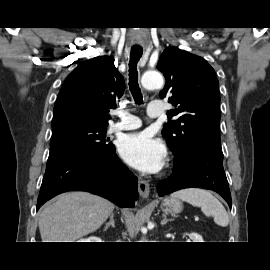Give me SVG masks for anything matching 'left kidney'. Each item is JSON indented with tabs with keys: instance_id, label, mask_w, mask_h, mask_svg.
Segmentation results:
<instances>
[{
	"instance_id": "1",
	"label": "left kidney",
	"mask_w": 270,
	"mask_h": 270,
	"mask_svg": "<svg viewBox=\"0 0 270 270\" xmlns=\"http://www.w3.org/2000/svg\"><path fill=\"white\" fill-rule=\"evenodd\" d=\"M189 237L193 240V242H203L202 236L197 233H190Z\"/></svg>"
}]
</instances>
